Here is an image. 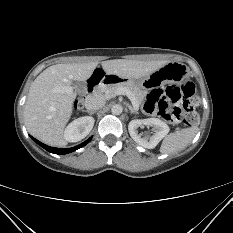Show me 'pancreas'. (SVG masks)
I'll use <instances>...</instances> for the list:
<instances>
[{
    "label": "pancreas",
    "mask_w": 233,
    "mask_h": 233,
    "mask_svg": "<svg viewBox=\"0 0 233 233\" xmlns=\"http://www.w3.org/2000/svg\"><path fill=\"white\" fill-rule=\"evenodd\" d=\"M118 88H126V89H128L134 95V98H135L134 103H135V105L139 107V105L141 104V102L143 101V98L145 96V91L140 90L137 87L129 86L127 84H115V85L106 86L104 88L106 97H109V98L110 97H114L115 96V91Z\"/></svg>",
    "instance_id": "1"
}]
</instances>
